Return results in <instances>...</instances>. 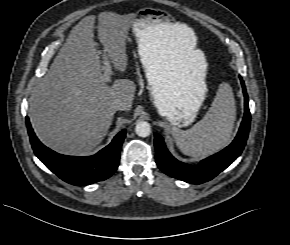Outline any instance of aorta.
Returning a JSON list of instances; mask_svg holds the SVG:
<instances>
[{"mask_svg": "<svg viewBox=\"0 0 290 245\" xmlns=\"http://www.w3.org/2000/svg\"><path fill=\"white\" fill-rule=\"evenodd\" d=\"M135 132L140 137H148L151 134V126L146 121H140L135 126Z\"/></svg>", "mask_w": 290, "mask_h": 245, "instance_id": "obj_1", "label": "aorta"}]
</instances>
